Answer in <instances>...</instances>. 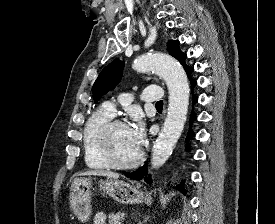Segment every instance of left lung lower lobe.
Returning <instances> with one entry per match:
<instances>
[{
  "mask_svg": "<svg viewBox=\"0 0 275 224\" xmlns=\"http://www.w3.org/2000/svg\"><path fill=\"white\" fill-rule=\"evenodd\" d=\"M193 71V69H190L188 72H187V75H188V78L190 79V82H191V90L196 86V81L194 79L191 78L190 74L191 72ZM197 102V97L193 94V104H195ZM195 120V115L194 113L192 112L191 114V118H190V123H192V121ZM193 132L191 130H189V133H188V138H191L193 136ZM189 148V145L187 146V149ZM147 163L144 164V166L138 168L135 172L133 173H130L128 175H126L128 178H131L133 180H141L147 173ZM145 181L147 183H151L152 180H151V177L149 176L148 178H145ZM178 189H180L184 194H185V191L183 189V184L181 183L180 185L177 186Z\"/></svg>",
  "mask_w": 275,
  "mask_h": 224,
  "instance_id": "0a47b994",
  "label": "left lung lower lobe"
}]
</instances>
